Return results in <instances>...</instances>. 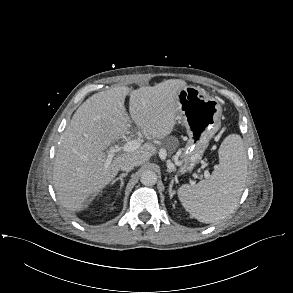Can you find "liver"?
<instances>
[{
	"label": "liver",
	"instance_id": "liver-1",
	"mask_svg": "<svg viewBox=\"0 0 293 293\" xmlns=\"http://www.w3.org/2000/svg\"><path fill=\"white\" fill-rule=\"evenodd\" d=\"M186 86L183 80L170 79L130 93L131 118L145 137L163 140L173 131L180 111L177 95ZM128 92L127 87L118 86L92 95L76 110L60 137L53 184L60 204L70 212L84 210L89 198L115 178L125 159L140 166L156 152L146 143L117 155L108 168L104 167L107 148L130 129L124 107Z\"/></svg>",
	"mask_w": 293,
	"mask_h": 293
}]
</instances>
